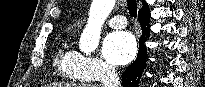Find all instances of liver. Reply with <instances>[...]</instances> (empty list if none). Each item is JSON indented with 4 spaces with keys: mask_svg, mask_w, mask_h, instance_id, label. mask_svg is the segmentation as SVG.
Segmentation results:
<instances>
[{
    "mask_svg": "<svg viewBox=\"0 0 205 87\" xmlns=\"http://www.w3.org/2000/svg\"><path fill=\"white\" fill-rule=\"evenodd\" d=\"M50 87H98V86L92 84L60 83V84H52L50 85Z\"/></svg>",
    "mask_w": 205,
    "mask_h": 87,
    "instance_id": "liver-1",
    "label": "liver"
}]
</instances>
